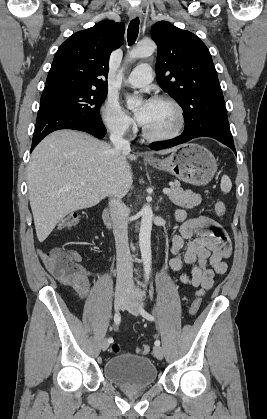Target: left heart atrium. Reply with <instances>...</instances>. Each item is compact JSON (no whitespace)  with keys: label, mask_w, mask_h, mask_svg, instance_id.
I'll return each mask as SVG.
<instances>
[{"label":"left heart atrium","mask_w":267,"mask_h":419,"mask_svg":"<svg viewBox=\"0 0 267 419\" xmlns=\"http://www.w3.org/2000/svg\"><path fill=\"white\" fill-rule=\"evenodd\" d=\"M152 101L151 100H145L142 105L137 109L136 111V118L140 124H144L146 121L149 108L151 106Z\"/></svg>","instance_id":"left-heart-atrium-1"}]
</instances>
